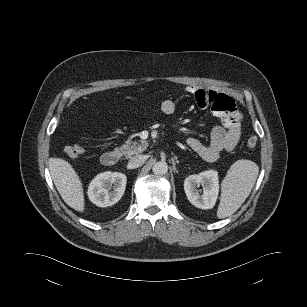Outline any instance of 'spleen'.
<instances>
[{
  "label": "spleen",
  "instance_id": "1",
  "mask_svg": "<svg viewBox=\"0 0 307 307\" xmlns=\"http://www.w3.org/2000/svg\"><path fill=\"white\" fill-rule=\"evenodd\" d=\"M259 167L250 160H238L227 172L221 184L220 204L217 209L219 219L235 213L246 198L257 180Z\"/></svg>",
  "mask_w": 307,
  "mask_h": 307
}]
</instances>
